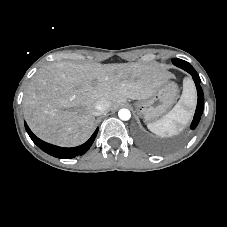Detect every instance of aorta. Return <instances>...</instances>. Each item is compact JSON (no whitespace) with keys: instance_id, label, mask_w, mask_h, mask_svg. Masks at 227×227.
I'll use <instances>...</instances> for the list:
<instances>
[{"instance_id":"762f6f07","label":"aorta","mask_w":227,"mask_h":227,"mask_svg":"<svg viewBox=\"0 0 227 227\" xmlns=\"http://www.w3.org/2000/svg\"><path fill=\"white\" fill-rule=\"evenodd\" d=\"M118 116L121 120L127 121L131 118V113L128 109H120L118 112Z\"/></svg>"}]
</instances>
